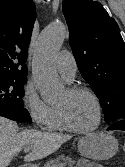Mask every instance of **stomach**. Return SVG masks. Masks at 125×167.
<instances>
[{"mask_svg":"<svg viewBox=\"0 0 125 167\" xmlns=\"http://www.w3.org/2000/svg\"><path fill=\"white\" fill-rule=\"evenodd\" d=\"M78 150L86 158L107 160L118 151V141L104 132L91 133L79 139Z\"/></svg>","mask_w":125,"mask_h":167,"instance_id":"stomach-1","label":"stomach"}]
</instances>
